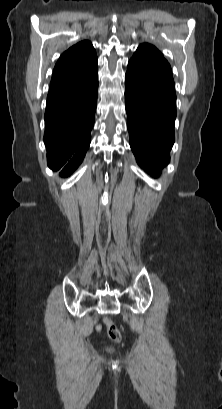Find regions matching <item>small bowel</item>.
I'll return each mask as SVG.
<instances>
[{
    "instance_id": "small-bowel-1",
    "label": "small bowel",
    "mask_w": 222,
    "mask_h": 409,
    "mask_svg": "<svg viewBox=\"0 0 222 409\" xmlns=\"http://www.w3.org/2000/svg\"><path fill=\"white\" fill-rule=\"evenodd\" d=\"M96 329H97L98 331H100L101 326H100V325H97Z\"/></svg>"
}]
</instances>
